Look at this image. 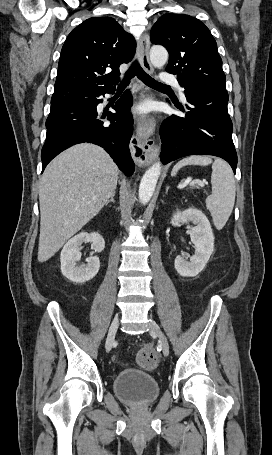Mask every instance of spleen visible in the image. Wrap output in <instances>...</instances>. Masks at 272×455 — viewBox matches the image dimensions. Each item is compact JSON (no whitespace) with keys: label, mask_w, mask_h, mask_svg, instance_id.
<instances>
[{"label":"spleen","mask_w":272,"mask_h":455,"mask_svg":"<svg viewBox=\"0 0 272 455\" xmlns=\"http://www.w3.org/2000/svg\"><path fill=\"white\" fill-rule=\"evenodd\" d=\"M209 164H212V194L206 198V206L211 213L215 227L220 230L229 219L235 202V180L230 166L222 159L217 158L213 161L211 157L192 155L176 163L171 175H176L178 170L185 165L205 166Z\"/></svg>","instance_id":"3e777b00"}]
</instances>
